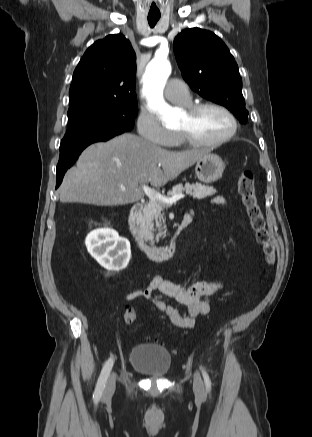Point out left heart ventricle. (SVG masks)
<instances>
[{
	"mask_svg": "<svg viewBox=\"0 0 312 437\" xmlns=\"http://www.w3.org/2000/svg\"><path fill=\"white\" fill-rule=\"evenodd\" d=\"M230 120L218 109L206 108L190 117L185 113L179 119V129L189 131L200 140H213L220 138L230 130Z\"/></svg>",
	"mask_w": 312,
	"mask_h": 437,
	"instance_id": "left-heart-ventricle-1",
	"label": "left heart ventricle"
}]
</instances>
